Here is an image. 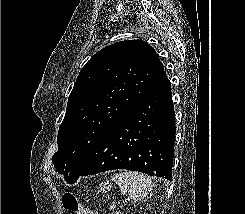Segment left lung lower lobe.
Returning <instances> with one entry per match:
<instances>
[{"label": "left lung lower lobe", "mask_w": 245, "mask_h": 214, "mask_svg": "<svg viewBox=\"0 0 245 214\" xmlns=\"http://www.w3.org/2000/svg\"><path fill=\"white\" fill-rule=\"evenodd\" d=\"M175 133L171 83L167 79L116 121L65 180L73 184L79 176L127 169L172 181Z\"/></svg>", "instance_id": "left-lung-lower-lobe-1"}]
</instances>
